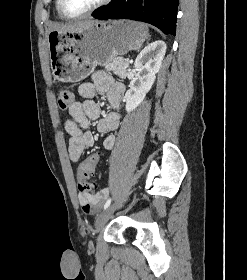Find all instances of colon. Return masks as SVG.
<instances>
[{"label": "colon", "instance_id": "obj_1", "mask_svg": "<svg viewBox=\"0 0 247 280\" xmlns=\"http://www.w3.org/2000/svg\"><path fill=\"white\" fill-rule=\"evenodd\" d=\"M57 101L61 110H68L74 103V94L70 90H61L58 93ZM99 158V154L95 153L80 164L77 173L78 189L80 192H89L92 190V186L88 180L93 175Z\"/></svg>", "mask_w": 247, "mask_h": 280}]
</instances>
